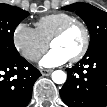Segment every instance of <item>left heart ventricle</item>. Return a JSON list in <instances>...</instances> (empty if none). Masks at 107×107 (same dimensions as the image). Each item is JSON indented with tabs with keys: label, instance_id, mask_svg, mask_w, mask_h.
<instances>
[{
	"label": "left heart ventricle",
	"instance_id": "left-heart-ventricle-1",
	"mask_svg": "<svg viewBox=\"0 0 107 107\" xmlns=\"http://www.w3.org/2000/svg\"><path fill=\"white\" fill-rule=\"evenodd\" d=\"M83 43L84 31L80 26L75 25L71 27L60 39L54 41L51 47L60 50L70 59L80 51Z\"/></svg>",
	"mask_w": 107,
	"mask_h": 107
}]
</instances>
